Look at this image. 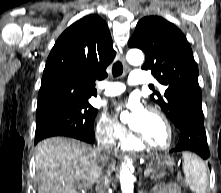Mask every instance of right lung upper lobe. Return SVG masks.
<instances>
[{
    "instance_id": "cb5924a9",
    "label": "right lung upper lobe",
    "mask_w": 221,
    "mask_h": 193,
    "mask_svg": "<svg viewBox=\"0 0 221 193\" xmlns=\"http://www.w3.org/2000/svg\"><path fill=\"white\" fill-rule=\"evenodd\" d=\"M107 24L88 15L68 27L48 56L38 106L57 102H85L96 95L95 80L107 76L115 57Z\"/></svg>"
}]
</instances>
